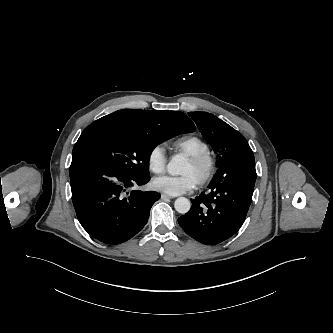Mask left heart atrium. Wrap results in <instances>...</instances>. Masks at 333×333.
Masks as SVG:
<instances>
[{
	"label": "left heart atrium",
	"mask_w": 333,
	"mask_h": 333,
	"mask_svg": "<svg viewBox=\"0 0 333 333\" xmlns=\"http://www.w3.org/2000/svg\"><path fill=\"white\" fill-rule=\"evenodd\" d=\"M152 186L164 194L176 196L192 191L197 186V181L189 174L161 176L153 179Z\"/></svg>",
	"instance_id": "left-heart-atrium-1"
}]
</instances>
